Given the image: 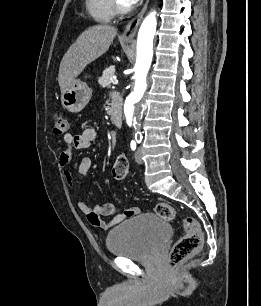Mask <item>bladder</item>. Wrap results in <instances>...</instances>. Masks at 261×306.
<instances>
[{
	"label": "bladder",
	"instance_id": "1",
	"mask_svg": "<svg viewBox=\"0 0 261 306\" xmlns=\"http://www.w3.org/2000/svg\"><path fill=\"white\" fill-rule=\"evenodd\" d=\"M171 227L157 214L143 213L114 227L106 237L108 251L131 260H147L170 238Z\"/></svg>",
	"mask_w": 261,
	"mask_h": 306
}]
</instances>
